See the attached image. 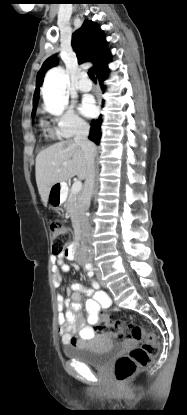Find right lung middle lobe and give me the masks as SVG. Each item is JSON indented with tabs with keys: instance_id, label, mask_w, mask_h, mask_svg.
Segmentation results:
<instances>
[{
	"instance_id": "obj_1",
	"label": "right lung middle lobe",
	"mask_w": 187,
	"mask_h": 415,
	"mask_svg": "<svg viewBox=\"0 0 187 415\" xmlns=\"http://www.w3.org/2000/svg\"><path fill=\"white\" fill-rule=\"evenodd\" d=\"M35 112H36V110L32 111V117L35 116Z\"/></svg>"
}]
</instances>
